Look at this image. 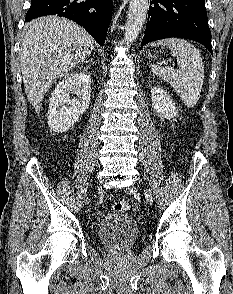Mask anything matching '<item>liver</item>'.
I'll use <instances>...</instances> for the list:
<instances>
[{
  "label": "liver",
  "mask_w": 233,
  "mask_h": 294,
  "mask_svg": "<svg viewBox=\"0 0 233 294\" xmlns=\"http://www.w3.org/2000/svg\"><path fill=\"white\" fill-rule=\"evenodd\" d=\"M93 38L79 25L56 16L34 20L20 49L25 93L39 114L52 84L91 54Z\"/></svg>",
  "instance_id": "1"
}]
</instances>
